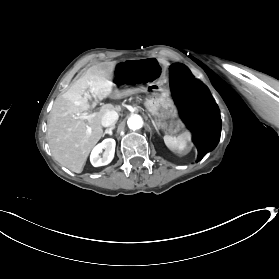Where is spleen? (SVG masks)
Wrapping results in <instances>:
<instances>
[{"label": "spleen", "mask_w": 279, "mask_h": 279, "mask_svg": "<svg viewBox=\"0 0 279 279\" xmlns=\"http://www.w3.org/2000/svg\"><path fill=\"white\" fill-rule=\"evenodd\" d=\"M165 145L173 152H183L188 149V142L191 139V134L188 131L181 133L179 136L174 137L171 135L164 136Z\"/></svg>", "instance_id": "spleen-1"}]
</instances>
